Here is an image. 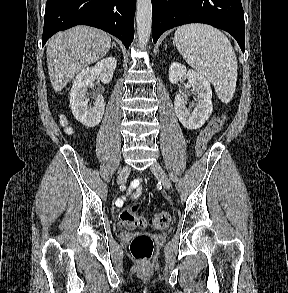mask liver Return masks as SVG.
Listing matches in <instances>:
<instances>
[{"mask_svg": "<svg viewBox=\"0 0 288 293\" xmlns=\"http://www.w3.org/2000/svg\"><path fill=\"white\" fill-rule=\"evenodd\" d=\"M111 48L105 32L76 26L55 34L47 43V66L53 89L61 91L90 64L104 57Z\"/></svg>", "mask_w": 288, "mask_h": 293, "instance_id": "6515ba94", "label": "liver"}]
</instances>
